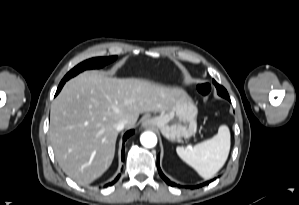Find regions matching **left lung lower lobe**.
Wrapping results in <instances>:
<instances>
[{"mask_svg":"<svg viewBox=\"0 0 299 205\" xmlns=\"http://www.w3.org/2000/svg\"><path fill=\"white\" fill-rule=\"evenodd\" d=\"M224 98H226V99L229 100V97H224ZM157 167H158V171H159L160 176L164 179V181H165L168 185H170V186H177L174 182H171L168 178H166V177L164 176V174L162 173V171H161V169H160V166H159V156H158V159H157ZM211 181H212V180H211ZM211 181H207V182H205V183H203V184H200V185H197V186H195V187H196V188H199V187H201V186H204V185H206V184H209ZM178 187L180 188L181 186L178 185ZM195 187H191V188H195Z\"/></svg>","mask_w":299,"mask_h":205,"instance_id":"obj_1","label":"left lung lower lobe"}]
</instances>
